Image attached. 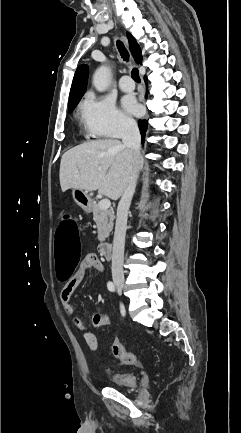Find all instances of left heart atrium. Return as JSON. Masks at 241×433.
Returning <instances> with one entry per match:
<instances>
[{
	"mask_svg": "<svg viewBox=\"0 0 241 433\" xmlns=\"http://www.w3.org/2000/svg\"><path fill=\"white\" fill-rule=\"evenodd\" d=\"M122 106L127 112L132 114H137L139 111L137 102L130 96H126L122 99Z\"/></svg>",
	"mask_w": 241,
	"mask_h": 433,
	"instance_id": "obj_1",
	"label": "left heart atrium"
}]
</instances>
